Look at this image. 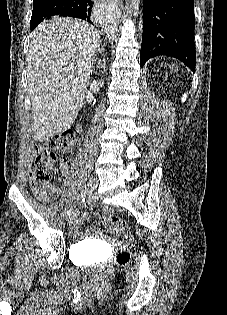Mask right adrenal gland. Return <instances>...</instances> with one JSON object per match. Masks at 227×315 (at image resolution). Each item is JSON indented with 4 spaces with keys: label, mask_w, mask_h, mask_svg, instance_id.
Segmentation results:
<instances>
[{
    "label": "right adrenal gland",
    "mask_w": 227,
    "mask_h": 315,
    "mask_svg": "<svg viewBox=\"0 0 227 315\" xmlns=\"http://www.w3.org/2000/svg\"><path fill=\"white\" fill-rule=\"evenodd\" d=\"M98 51H99L100 53H104V52H105L103 45L99 44Z\"/></svg>",
    "instance_id": "right-adrenal-gland-1"
}]
</instances>
